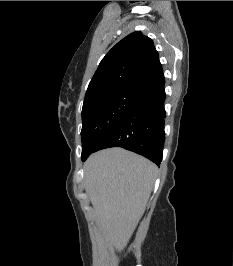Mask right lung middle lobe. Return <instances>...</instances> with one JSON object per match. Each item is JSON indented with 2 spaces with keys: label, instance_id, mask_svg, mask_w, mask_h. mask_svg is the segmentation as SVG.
<instances>
[{
  "label": "right lung middle lobe",
  "instance_id": "obj_1",
  "mask_svg": "<svg viewBox=\"0 0 233 266\" xmlns=\"http://www.w3.org/2000/svg\"><path fill=\"white\" fill-rule=\"evenodd\" d=\"M145 94V91L121 90L84 101L81 131L82 156L91 153Z\"/></svg>",
  "mask_w": 233,
  "mask_h": 266
}]
</instances>
